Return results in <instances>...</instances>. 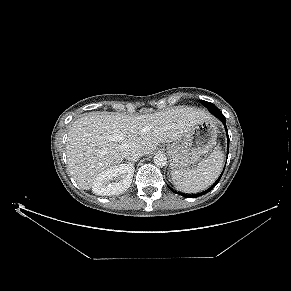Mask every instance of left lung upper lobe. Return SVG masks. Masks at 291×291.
<instances>
[{"instance_id": "obj_1", "label": "left lung upper lobe", "mask_w": 291, "mask_h": 291, "mask_svg": "<svg viewBox=\"0 0 291 291\" xmlns=\"http://www.w3.org/2000/svg\"><path fill=\"white\" fill-rule=\"evenodd\" d=\"M201 103L211 112V111H213V110H217L218 108L214 105V104H212V103H210V102H207V101H204V100H201Z\"/></svg>"}]
</instances>
